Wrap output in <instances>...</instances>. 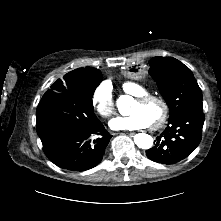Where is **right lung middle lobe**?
<instances>
[{
    "mask_svg": "<svg viewBox=\"0 0 221 221\" xmlns=\"http://www.w3.org/2000/svg\"><path fill=\"white\" fill-rule=\"evenodd\" d=\"M100 82L101 74L97 73L66 85L57 80L46 91L36 111V129L43 146L99 121L93 112L92 95Z\"/></svg>",
    "mask_w": 221,
    "mask_h": 221,
    "instance_id": "right-lung-middle-lobe-1",
    "label": "right lung middle lobe"
}]
</instances>
